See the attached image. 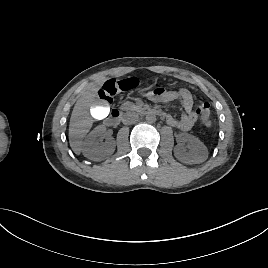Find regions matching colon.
Returning <instances> with one entry per match:
<instances>
[{"instance_id":"colon-1","label":"colon","mask_w":268,"mask_h":268,"mask_svg":"<svg viewBox=\"0 0 268 268\" xmlns=\"http://www.w3.org/2000/svg\"><path fill=\"white\" fill-rule=\"evenodd\" d=\"M136 78H128L123 80H108L106 81L98 92V97L101 100L111 101L112 98L119 92L131 90L138 86ZM196 113L200 117L203 126L209 127L210 121V104L204 100H199Z\"/></svg>"}]
</instances>
